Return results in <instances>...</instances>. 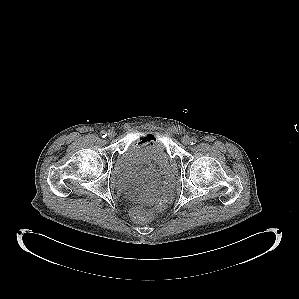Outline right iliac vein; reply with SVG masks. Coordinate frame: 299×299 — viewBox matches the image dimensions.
Wrapping results in <instances>:
<instances>
[{
    "instance_id": "1",
    "label": "right iliac vein",
    "mask_w": 299,
    "mask_h": 299,
    "mask_svg": "<svg viewBox=\"0 0 299 299\" xmlns=\"http://www.w3.org/2000/svg\"><path fill=\"white\" fill-rule=\"evenodd\" d=\"M115 136V132L114 131H109L108 132V137L109 138H113Z\"/></svg>"
}]
</instances>
